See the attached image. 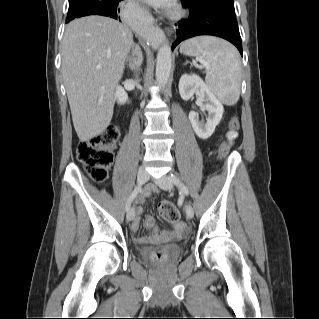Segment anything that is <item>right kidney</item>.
<instances>
[{
    "instance_id": "right-kidney-1",
    "label": "right kidney",
    "mask_w": 319,
    "mask_h": 319,
    "mask_svg": "<svg viewBox=\"0 0 319 319\" xmlns=\"http://www.w3.org/2000/svg\"><path fill=\"white\" fill-rule=\"evenodd\" d=\"M115 99L118 104H125L128 100V95L122 87H116Z\"/></svg>"
}]
</instances>
